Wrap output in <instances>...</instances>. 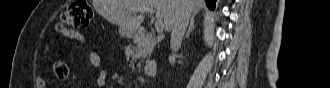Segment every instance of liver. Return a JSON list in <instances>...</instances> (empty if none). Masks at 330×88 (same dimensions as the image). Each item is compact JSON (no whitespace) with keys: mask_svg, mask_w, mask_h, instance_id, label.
Returning <instances> with one entry per match:
<instances>
[{"mask_svg":"<svg viewBox=\"0 0 330 88\" xmlns=\"http://www.w3.org/2000/svg\"><path fill=\"white\" fill-rule=\"evenodd\" d=\"M93 5L100 15L109 22L119 26L123 36L135 33L144 21V12L140 15L132 13L133 9L156 10V18L164 21L166 32L172 30L180 12L190 9L193 15L205 6L204 0H94Z\"/></svg>","mask_w":330,"mask_h":88,"instance_id":"liver-1","label":"liver"}]
</instances>
